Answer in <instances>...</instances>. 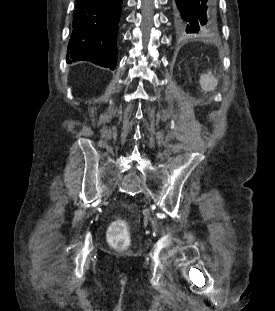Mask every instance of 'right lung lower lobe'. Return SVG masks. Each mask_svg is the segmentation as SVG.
I'll list each match as a JSON object with an SVG mask.
<instances>
[{"instance_id": "1", "label": "right lung lower lobe", "mask_w": 275, "mask_h": 311, "mask_svg": "<svg viewBox=\"0 0 275 311\" xmlns=\"http://www.w3.org/2000/svg\"><path fill=\"white\" fill-rule=\"evenodd\" d=\"M67 58L115 69L117 34L123 0H76Z\"/></svg>"}]
</instances>
